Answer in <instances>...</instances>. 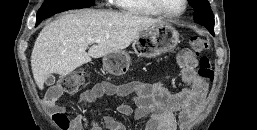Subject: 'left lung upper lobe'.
<instances>
[{"label": "left lung upper lobe", "instance_id": "obj_1", "mask_svg": "<svg viewBox=\"0 0 257 130\" xmlns=\"http://www.w3.org/2000/svg\"><path fill=\"white\" fill-rule=\"evenodd\" d=\"M189 2L194 8V21L206 26L212 33L214 29V15L210 9L208 0H189Z\"/></svg>", "mask_w": 257, "mask_h": 130}]
</instances>
